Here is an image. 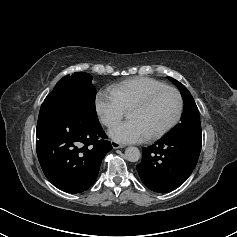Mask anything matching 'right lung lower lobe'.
I'll use <instances>...</instances> for the list:
<instances>
[{
  "instance_id": "1",
  "label": "right lung lower lobe",
  "mask_w": 237,
  "mask_h": 237,
  "mask_svg": "<svg viewBox=\"0 0 237 237\" xmlns=\"http://www.w3.org/2000/svg\"><path fill=\"white\" fill-rule=\"evenodd\" d=\"M36 150L47 179L68 193H80L96 180L102 159L112 149L99 121L81 122L41 106Z\"/></svg>"
}]
</instances>
